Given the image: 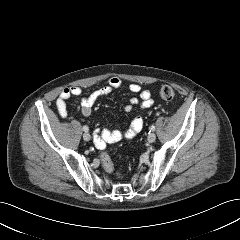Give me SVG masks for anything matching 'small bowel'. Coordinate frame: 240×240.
Wrapping results in <instances>:
<instances>
[{
	"instance_id": "c3829d8e",
	"label": "small bowel",
	"mask_w": 240,
	"mask_h": 240,
	"mask_svg": "<svg viewBox=\"0 0 240 240\" xmlns=\"http://www.w3.org/2000/svg\"><path fill=\"white\" fill-rule=\"evenodd\" d=\"M121 84L122 82L119 78L111 77L103 87L92 92L89 96L84 97L81 100L82 115L89 117L92 113V108L96 101L100 97L108 95L113 90L118 89ZM129 90L132 93L139 94V98L132 97L129 99L128 103L124 107L127 112H131L134 106L137 105H139L142 109L149 108L153 105V99L151 98V93L149 90L142 89L141 86L137 83L130 84ZM81 92L82 90L78 86H70L61 91L56 101L57 111L61 117L65 118L68 115L66 101L72 96H79ZM143 126V117L140 114H137L131 121L130 125L125 129H104L95 131V141L99 146L104 147L106 144L119 142L121 140H130L142 130Z\"/></svg>"
}]
</instances>
